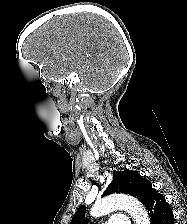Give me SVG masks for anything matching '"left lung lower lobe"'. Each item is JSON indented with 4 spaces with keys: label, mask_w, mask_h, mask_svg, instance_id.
I'll use <instances>...</instances> for the list:
<instances>
[{
    "label": "left lung lower lobe",
    "mask_w": 187,
    "mask_h": 224,
    "mask_svg": "<svg viewBox=\"0 0 187 224\" xmlns=\"http://www.w3.org/2000/svg\"><path fill=\"white\" fill-rule=\"evenodd\" d=\"M151 224H173L174 216L163 195L156 190L145 205Z\"/></svg>",
    "instance_id": "0a47b994"
}]
</instances>
